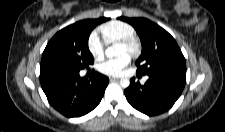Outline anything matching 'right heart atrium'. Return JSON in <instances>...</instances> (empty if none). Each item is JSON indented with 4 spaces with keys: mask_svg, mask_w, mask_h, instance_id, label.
<instances>
[{
    "mask_svg": "<svg viewBox=\"0 0 225 132\" xmlns=\"http://www.w3.org/2000/svg\"><path fill=\"white\" fill-rule=\"evenodd\" d=\"M88 50L96 59H101L104 55V46L97 33H91L87 41Z\"/></svg>",
    "mask_w": 225,
    "mask_h": 132,
    "instance_id": "d8ad5b80",
    "label": "right heart atrium"
}]
</instances>
